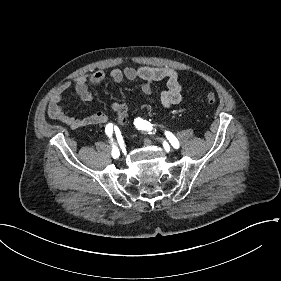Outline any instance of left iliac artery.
Listing matches in <instances>:
<instances>
[{
	"instance_id": "1",
	"label": "left iliac artery",
	"mask_w": 281,
	"mask_h": 281,
	"mask_svg": "<svg viewBox=\"0 0 281 281\" xmlns=\"http://www.w3.org/2000/svg\"><path fill=\"white\" fill-rule=\"evenodd\" d=\"M134 124L139 130L148 131L149 133L153 132L152 125L148 121L143 120L142 118H136ZM165 135L174 148H179V142L171 132L166 131Z\"/></svg>"
}]
</instances>
